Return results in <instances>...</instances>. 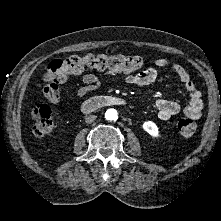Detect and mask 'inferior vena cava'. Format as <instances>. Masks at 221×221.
<instances>
[{
  "instance_id": "inferior-vena-cava-1",
  "label": "inferior vena cava",
  "mask_w": 221,
  "mask_h": 221,
  "mask_svg": "<svg viewBox=\"0 0 221 221\" xmlns=\"http://www.w3.org/2000/svg\"><path fill=\"white\" fill-rule=\"evenodd\" d=\"M96 118H97V116H95V115L86 116L85 117V122L86 123H92Z\"/></svg>"
}]
</instances>
